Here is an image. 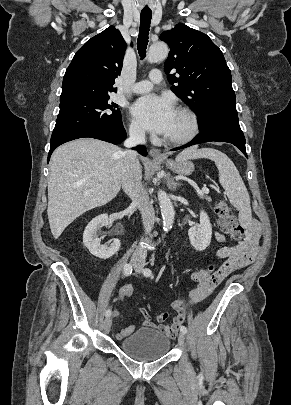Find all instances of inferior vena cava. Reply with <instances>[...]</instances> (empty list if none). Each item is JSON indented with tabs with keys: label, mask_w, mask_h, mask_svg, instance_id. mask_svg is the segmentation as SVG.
Segmentation results:
<instances>
[{
	"label": "inferior vena cava",
	"mask_w": 291,
	"mask_h": 405,
	"mask_svg": "<svg viewBox=\"0 0 291 405\" xmlns=\"http://www.w3.org/2000/svg\"><path fill=\"white\" fill-rule=\"evenodd\" d=\"M144 143L145 131L136 127L130 128L129 138L124 141L127 149L122 152L121 184L124 192L131 198L132 203L140 210L146 233H150L154 224L155 213L149 196L141 184L142 175L136 158L137 153L131 149L138 144ZM146 255V248L143 246L138 247L132 256V261L144 263Z\"/></svg>",
	"instance_id": "inferior-vena-cava-1"
}]
</instances>
